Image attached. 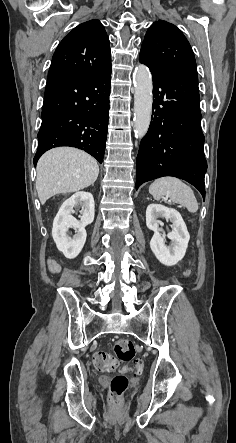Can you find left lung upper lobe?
<instances>
[{
  "instance_id": "obj_1",
  "label": "left lung upper lobe",
  "mask_w": 236,
  "mask_h": 443,
  "mask_svg": "<svg viewBox=\"0 0 236 443\" xmlns=\"http://www.w3.org/2000/svg\"><path fill=\"white\" fill-rule=\"evenodd\" d=\"M139 59L150 68H191L196 70L193 50L183 33L173 24L159 20L148 29Z\"/></svg>"
}]
</instances>
